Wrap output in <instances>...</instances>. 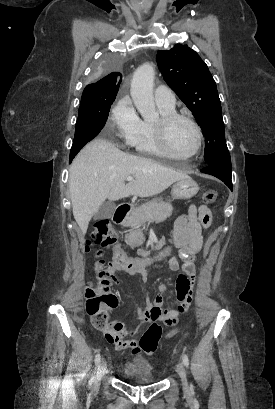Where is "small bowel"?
Wrapping results in <instances>:
<instances>
[{
  "label": "small bowel",
  "mask_w": 275,
  "mask_h": 409,
  "mask_svg": "<svg viewBox=\"0 0 275 409\" xmlns=\"http://www.w3.org/2000/svg\"><path fill=\"white\" fill-rule=\"evenodd\" d=\"M211 212L208 207L195 205L189 207L188 214L181 215L174 228V239L179 248L178 256H173L169 260V266L174 271H180L176 280L175 292L179 304L173 309H163L161 304L163 297L170 292L168 284H162L158 287V295L153 301V305L145 309L138 306L133 297L129 301L139 320L152 322V325L145 326V333L141 334L139 339L140 347L135 338L134 332L127 330L122 322H114L112 330L104 332L105 342H109L115 351H135L139 354H146L149 358L156 355L162 341L159 338L161 333L160 321L173 326L177 323L178 316L186 312L192 301L193 291L196 280L197 255L203 246L202 230L209 227L211 223ZM132 259V258H131ZM183 260L182 263L180 260ZM133 265L139 267L131 274L138 273L143 279L146 278V269L144 261L141 258H134ZM112 277V276H111ZM113 286L119 285L118 279L112 280ZM135 324V323H134Z\"/></svg>",
  "instance_id": "c3829d8e"
}]
</instances>
